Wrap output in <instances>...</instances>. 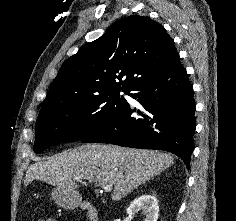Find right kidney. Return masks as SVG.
I'll return each mask as SVG.
<instances>
[{
	"instance_id": "right-kidney-1",
	"label": "right kidney",
	"mask_w": 236,
	"mask_h": 221,
	"mask_svg": "<svg viewBox=\"0 0 236 221\" xmlns=\"http://www.w3.org/2000/svg\"><path fill=\"white\" fill-rule=\"evenodd\" d=\"M138 211H142L145 215L144 221H157L159 206L158 201L154 196L141 195L131 202L127 208V214L129 216L135 215Z\"/></svg>"
}]
</instances>
